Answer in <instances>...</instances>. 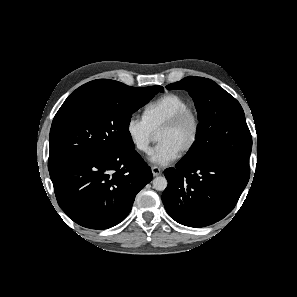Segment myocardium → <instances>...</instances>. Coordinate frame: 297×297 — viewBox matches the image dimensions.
I'll list each match as a JSON object with an SVG mask.
<instances>
[{
    "mask_svg": "<svg viewBox=\"0 0 297 297\" xmlns=\"http://www.w3.org/2000/svg\"><path fill=\"white\" fill-rule=\"evenodd\" d=\"M186 120L192 121L193 131L190 140L180 151L181 156L188 154L194 148L199 138L201 121L196 110H194L191 107H188L186 109L179 111L171 119L164 123L157 131V133H160L162 131L173 130L179 127Z\"/></svg>",
    "mask_w": 297,
    "mask_h": 297,
    "instance_id": "myocardium-1",
    "label": "myocardium"
}]
</instances>
